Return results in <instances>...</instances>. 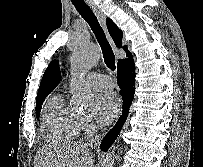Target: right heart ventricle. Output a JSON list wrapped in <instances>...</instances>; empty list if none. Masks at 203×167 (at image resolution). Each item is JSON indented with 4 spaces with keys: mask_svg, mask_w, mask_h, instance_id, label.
<instances>
[{
    "mask_svg": "<svg viewBox=\"0 0 203 167\" xmlns=\"http://www.w3.org/2000/svg\"><path fill=\"white\" fill-rule=\"evenodd\" d=\"M41 127L44 138L51 143L70 142L81 130L79 116L64 103L61 94L47 102Z\"/></svg>",
    "mask_w": 203,
    "mask_h": 167,
    "instance_id": "right-heart-ventricle-1",
    "label": "right heart ventricle"
}]
</instances>
